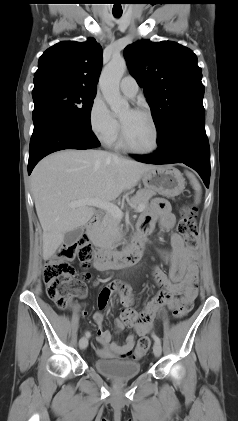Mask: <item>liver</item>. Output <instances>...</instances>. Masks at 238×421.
Listing matches in <instances>:
<instances>
[{
    "label": "liver",
    "instance_id": "liver-1",
    "mask_svg": "<svg viewBox=\"0 0 238 421\" xmlns=\"http://www.w3.org/2000/svg\"><path fill=\"white\" fill-rule=\"evenodd\" d=\"M151 168L102 150H63L41 160L31 174V188L43 229V258L48 260L67 232L93 216V208H70V202L114 200Z\"/></svg>",
    "mask_w": 238,
    "mask_h": 421
}]
</instances>
